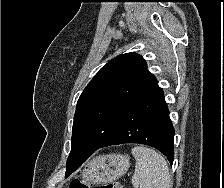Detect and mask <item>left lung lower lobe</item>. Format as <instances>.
I'll use <instances>...</instances> for the list:
<instances>
[{
    "label": "left lung lower lobe",
    "instance_id": "0a47b994",
    "mask_svg": "<svg viewBox=\"0 0 224 188\" xmlns=\"http://www.w3.org/2000/svg\"><path fill=\"white\" fill-rule=\"evenodd\" d=\"M173 137L174 128L169 118L164 93L156 84L132 103L99 148L124 143L146 144L162 152L172 164ZM82 163L83 161L68 168L66 177Z\"/></svg>",
    "mask_w": 224,
    "mask_h": 188
}]
</instances>
